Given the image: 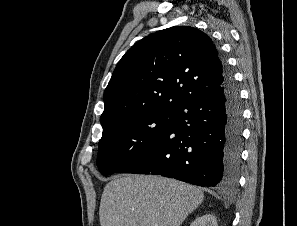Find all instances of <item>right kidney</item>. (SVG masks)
<instances>
[{
	"instance_id": "obj_1",
	"label": "right kidney",
	"mask_w": 297,
	"mask_h": 226,
	"mask_svg": "<svg viewBox=\"0 0 297 226\" xmlns=\"http://www.w3.org/2000/svg\"><path fill=\"white\" fill-rule=\"evenodd\" d=\"M190 226H218L215 216L206 214L198 217L191 223Z\"/></svg>"
}]
</instances>
